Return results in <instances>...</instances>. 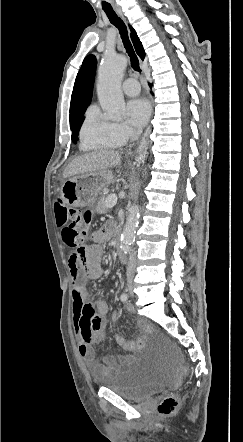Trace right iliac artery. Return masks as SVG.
I'll list each match as a JSON object with an SVG mask.
<instances>
[{"mask_svg":"<svg viewBox=\"0 0 243 442\" xmlns=\"http://www.w3.org/2000/svg\"><path fill=\"white\" fill-rule=\"evenodd\" d=\"M120 299L122 302H126L128 300V295L126 293H122Z\"/></svg>","mask_w":243,"mask_h":442,"instance_id":"1","label":"right iliac artery"}]
</instances>
